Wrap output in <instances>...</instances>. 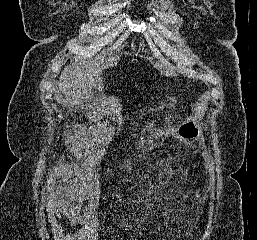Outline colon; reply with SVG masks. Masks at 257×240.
<instances>
[{
  "instance_id": "5ec220e1",
  "label": "colon",
  "mask_w": 257,
  "mask_h": 240,
  "mask_svg": "<svg viewBox=\"0 0 257 240\" xmlns=\"http://www.w3.org/2000/svg\"><path fill=\"white\" fill-rule=\"evenodd\" d=\"M199 117L200 111L197 110L190 119L185 122L179 129V135L177 139L173 141L170 148L162 155L161 163L159 167L158 178L156 182L152 186V190L147 195L145 199H143L142 203L147 205L153 198L154 193L156 192L159 183L162 178H164L170 171L172 160L174 157V152L178 148L181 142L189 141L195 139L199 135L200 126H199Z\"/></svg>"
}]
</instances>
